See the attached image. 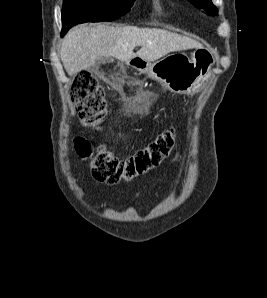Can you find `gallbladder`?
I'll list each match as a JSON object with an SVG mask.
<instances>
[{
    "mask_svg": "<svg viewBox=\"0 0 267 298\" xmlns=\"http://www.w3.org/2000/svg\"><path fill=\"white\" fill-rule=\"evenodd\" d=\"M111 58H102L96 61V65L101 64V63H106V62H110Z\"/></svg>",
    "mask_w": 267,
    "mask_h": 298,
    "instance_id": "obj_1",
    "label": "gallbladder"
}]
</instances>
